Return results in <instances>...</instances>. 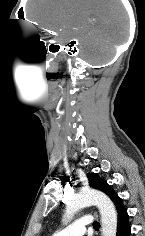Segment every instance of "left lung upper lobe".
I'll return each instance as SVG.
<instances>
[{"label":"left lung upper lobe","instance_id":"obj_1","mask_svg":"<svg viewBox=\"0 0 145 236\" xmlns=\"http://www.w3.org/2000/svg\"><path fill=\"white\" fill-rule=\"evenodd\" d=\"M88 180L91 187L103 191L106 195H108L112 201L115 203L117 211L124 208L122 203V199L114 192L110 185L103 179H101L95 173L88 174Z\"/></svg>","mask_w":145,"mask_h":236}]
</instances>
